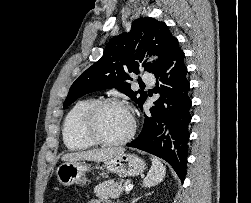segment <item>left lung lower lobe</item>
<instances>
[{
	"label": "left lung lower lobe",
	"mask_w": 251,
	"mask_h": 203,
	"mask_svg": "<svg viewBox=\"0 0 251 203\" xmlns=\"http://www.w3.org/2000/svg\"><path fill=\"white\" fill-rule=\"evenodd\" d=\"M160 98L145 115L139 136L126 146L138 148L166 160L184 181L191 121L190 84L184 52L175 39L163 63L153 72ZM160 82L161 84H159Z\"/></svg>",
	"instance_id": "left-lung-lower-lobe-1"
}]
</instances>
